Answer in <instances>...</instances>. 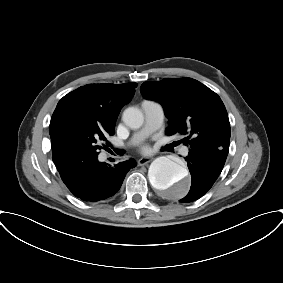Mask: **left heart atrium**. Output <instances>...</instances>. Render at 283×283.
Wrapping results in <instances>:
<instances>
[{"label":"left heart atrium","instance_id":"obj_1","mask_svg":"<svg viewBox=\"0 0 283 283\" xmlns=\"http://www.w3.org/2000/svg\"><path fill=\"white\" fill-rule=\"evenodd\" d=\"M143 150L144 151H148V148L145 146V147H143Z\"/></svg>","mask_w":283,"mask_h":283}]
</instances>
